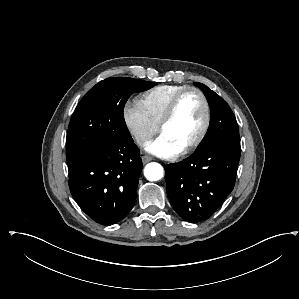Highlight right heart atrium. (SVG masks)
<instances>
[{
  "label": "right heart atrium",
  "mask_w": 299,
  "mask_h": 299,
  "mask_svg": "<svg viewBox=\"0 0 299 299\" xmlns=\"http://www.w3.org/2000/svg\"><path fill=\"white\" fill-rule=\"evenodd\" d=\"M125 126L134 142L142 146L157 132L155 125L137 102L127 103L123 109Z\"/></svg>",
  "instance_id": "obj_1"
}]
</instances>
